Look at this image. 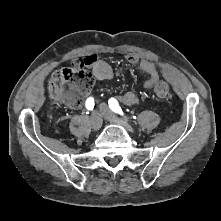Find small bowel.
Instances as JSON below:
<instances>
[{
    "label": "small bowel",
    "mask_w": 221,
    "mask_h": 221,
    "mask_svg": "<svg viewBox=\"0 0 221 221\" xmlns=\"http://www.w3.org/2000/svg\"><path fill=\"white\" fill-rule=\"evenodd\" d=\"M126 59L131 65H139L141 70L148 76L144 82L145 89H151L158 83L160 75L155 63L147 59H139L135 54H129ZM84 60L91 67L97 80L107 81L113 78V70L105 61L97 58L95 55H87ZM119 99L127 105H135L139 101L138 95L133 91L126 92Z\"/></svg>",
    "instance_id": "c3829d8e"
}]
</instances>
